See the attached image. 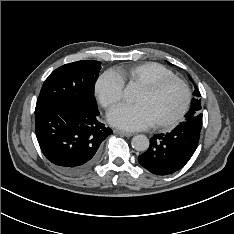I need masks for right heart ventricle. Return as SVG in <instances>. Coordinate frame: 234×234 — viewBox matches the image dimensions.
<instances>
[{
	"label": "right heart ventricle",
	"instance_id": "right-heart-ventricle-1",
	"mask_svg": "<svg viewBox=\"0 0 234 234\" xmlns=\"http://www.w3.org/2000/svg\"><path fill=\"white\" fill-rule=\"evenodd\" d=\"M113 72L123 83L135 84L139 87L163 78L175 77V74L170 69L155 62L117 67Z\"/></svg>",
	"mask_w": 234,
	"mask_h": 234
}]
</instances>
